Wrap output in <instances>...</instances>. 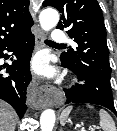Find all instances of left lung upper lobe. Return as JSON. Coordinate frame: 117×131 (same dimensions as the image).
Segmentation results:
<instances>
[{
  "label": "left lung upper lobe",
  "instance_id": "5c2ea615",
  "mask_svg": "<svg viewBox=\"0 0 117 131\" xmlns=\"http://www.w3.org/2000/svg\"><path fill=\"white\" fill-rule=\"evenodd\" d=\"M47 6L61 12L57 28L69 27L67 33L78 45L61 54L62 62L111 87L106 28L97 0H45L43 7Z\"/></svg>",
  "mask_w": 117,
  "mask_h": 131
}]
</instances>
